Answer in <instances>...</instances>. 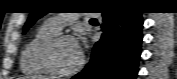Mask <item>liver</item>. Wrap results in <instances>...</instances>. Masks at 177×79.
<instances>
[{"label":"liver","instance_id":"liver-1","mask_svg":"<svg viewBox=\"0 0 177 79\" xmlns=\"http://www.w3.org/2000/svg\"><path fill=\"white\" fill-rule=\"evenodd\" d=\"M31 79H51V78L48 76H35V77H32Z\"/></svg>","mask_w":177,"mask_h":79}]
</instances>
